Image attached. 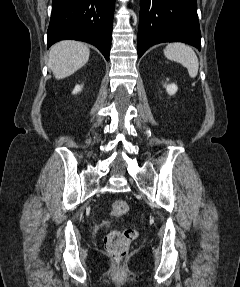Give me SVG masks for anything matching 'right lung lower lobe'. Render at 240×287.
Instances as JSON below:
<instances>
[{
	"label": "right lung lower lobe",
	"instance_id": "right-lung-lower-lobe-1",
	"mask_svg": "<svg viewBox=\"0 0 240 287\" xmlns=\"http://www.w3.org/2000/svg\"><path fill=\"white\" fill-rule=\"evenodd\" d=\"M115 0H53L48 47L73 39L96 46L109 59Z\"/></svg>",
	"mask_w": 240,
	"mask_h": 287
}]
</instances>
